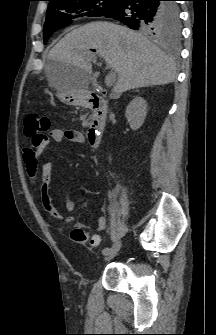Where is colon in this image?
Here are the masks:
<instances>
[{"instance_id":"obj_1","label":"colon","mask_w":216,"mask_h":335,"mask_svg":"<svg viewBox=\"0 0 216 335\" xmlns=\"http://www.w3.org/2000/svg\"><path fill=\"white\" fill-rule=\"evenodd\" d=\"M25 134L31 139L32 146H36L46 137L50 127V120L47 116L38 112H29L25 118ZM71 239L78 244H86L89 241L87 234L81 228H74L70 233ZM98 239L92 238L91 245H97Z\"/></svg>"}]
</instances>
